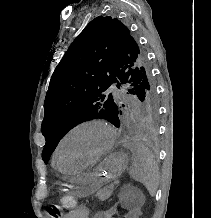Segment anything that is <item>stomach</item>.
Listing matches in <instances>:
<instances>
[{
	"label": "stomach",
	"mask_w": 211,
	"mask_h": 218,
	"mask_svg": "<svg viewBox=\"0 0 211 218\" xmlns=\"http://www.w3.org/2000/svg\"><path fill=\"white\" fill-rule=\"evenodd\" d=\"M129 157L124 152L109 155L92 173H84L70 179L73 194L86 197L98 190L103 184L117 179L128 167Z\"/></svg>",
	"instance_id": "1"
}]
</instances>
